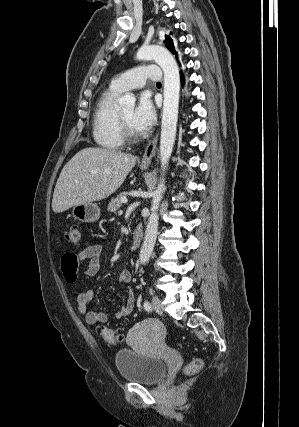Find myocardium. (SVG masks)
<instances>
[{
  "mask_svg": "<svg viewBox=\"0 0 299 427\" xmlns=\"http://www.w3.org/2000/svg\"><path fill=\"white\" fill-rule=\"evenodd\" d=\"M118 119L123 137L128 140H135L138 138V133L128 124L120 111H118Z\"/></svg>",
  "mask_w": 299,
  "mask_h": 427,
  "instance_id": "obj_1",
  "label": "myocardium"
}]
</instances>
